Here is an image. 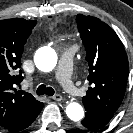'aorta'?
I'll list each match as a JSON object with an SVG mask.
<instances>
[{"instance_id":"obj_1","label":"aorta","mask_w":133,"mask_h":133,"mask_svg":"<svg viewBox=\"0 0 133 133\" xmlns=\"http://www.w3.org/2000/svg\"><path fill=\"white\" fill-rule=\"evenodd\" d=\"M34 62L40 71L50 72L57 64V54L52 48H46L35 56ZM66 114L69 119L78 122L83 119L84 110L79 103L71 102L66 107Z\"/></svg>"}]
</instances>
